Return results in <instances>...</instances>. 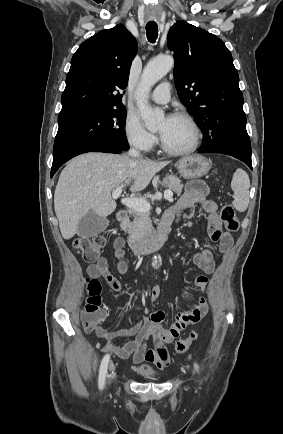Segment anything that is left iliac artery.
I'll list each match as a JSON object with an SVG mask.
<instances>
[{
    "instance_id": "obj_1",
    "label": "left iliac artery",
    "mask_w": 283,
    "mask_h": 434,
    "mask_svg": "<svg viewBox=\"0 0 283 434\" xmlns=\"http://www.w3.org/2000/svg\"><path fill=\"white\" fill-rule=\"evenodd\" d=\"M194 367L196 368V370H198V365L196 363L194 364Z\"/></svg>"
}]
</instances>
